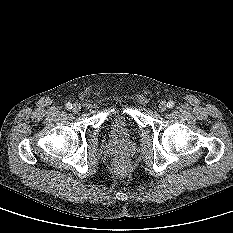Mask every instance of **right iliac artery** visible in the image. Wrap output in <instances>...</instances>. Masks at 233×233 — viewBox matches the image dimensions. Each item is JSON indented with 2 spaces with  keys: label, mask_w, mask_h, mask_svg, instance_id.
I'll return each instance as SVG.
<instances>
[{
  "label": "right iliac artery",
  "mask_w": 233,
  "mask_h": 233,
  "mask_svg": "<svg viewBox=\"0 0 233 233\" xmlns=\"http://www.w3.org/2000/svg\"><path fill=\"white\" fill-rule=\"evenodd\" d=\"M66 108H67V109H72V104H71V103H67V104H66Z\"/></svg>",
  "instance_id": "1"
}]
</instances>
